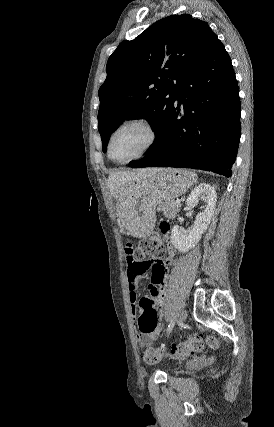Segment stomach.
<instances>
[{
    "instance_id": "obj_1",
    "label": "stomach",
    "mask_w": 274,
    "mask_h": 427,
    "mask_svg": "<svg viewBox=\"0 0 274 427\" xmlns=\"http://www.w3.org/2000/svg\"><path fill=\"white\" fill-rule=\"evenodd\" d=\"M197 182L195 172L161 168L143 180L135 178L129 188L130 194L124 202H117L118 217L127 233L134 237H146L156 223V206L172 198L183 196Z\"/></svg>"
}]
</instances>
